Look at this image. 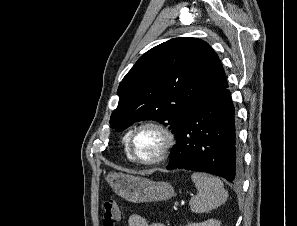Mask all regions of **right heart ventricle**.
I'll return each mask as SVG.
<instances>
[{
	"mask_svg": "<svg viewBox=\"0 0 297 226\" xmlns=\"http://www.w3.org/2000/svg\"><path fill=\"white\" fill-rule=\"evenodd\" d=\"M127 136H128V135H126L125 138H124V141H125V142H126Z\"/></svg>",
	"mask_w": 297,
	"mask_h": 226,
	"instance_id": "1",
	"label": "right heart ventricle"
}]
</instances>
